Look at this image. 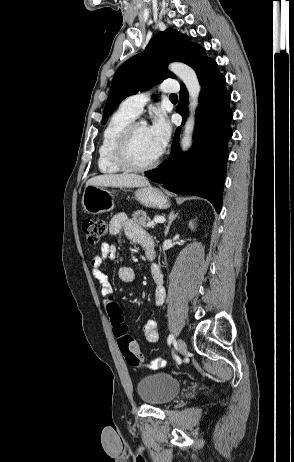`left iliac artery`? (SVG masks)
<instances>
[{"label": "left iliac artery", "mask_w": 294, "mask_h": 462, "mask_svg": "<svg viewBox=\"0 0 294 462\" xmlns=\"http://www.w3.org/2000/svg\"><path fill=\"white\" fill-rule=\"evenodd\" d=\"M174 340V336L171 334L169 335L167 341H168V344L170 345L171 342ZM171 347V346H170ZM170 350V349H169ZM171 355H172V359L173 360H177L176 361V364L177 365H180L182 363V358H179L178 354L175 352V351H171Z\"/></svg>", "instance_id": "1"}]
</instances>
